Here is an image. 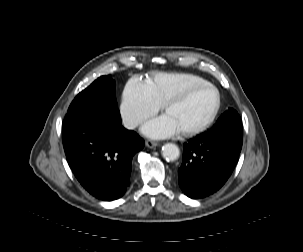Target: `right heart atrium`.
<instances>
[{
	"label": "right heart atrium",
	"instance_id": "right-heart-atrium-1",
	"mask_svg": "<svg viewBox=\"0 0 303 252\" xmlns=\"http://www.w3.org/2000/svg\"><path fill=\"white\" fill-rule=\"evenodd\" d=\"M159 109L160 105L150 97L143 82L136 78L128 81L119 105L120 117L126 128H136Z\"/></svg>",
	"mask_w": 303,
	"mask_h": 252
}]
</instances>
